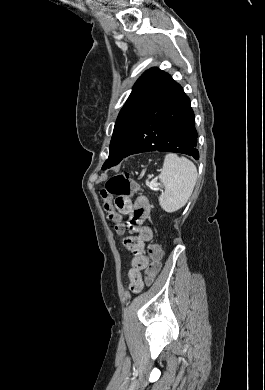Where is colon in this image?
<instances>
[{"instance_id":"obj_1","label":"colon","mask_w":265,"mask_h":390,"mask_svg":"<svg viewBox=\"0 0 265 390\" xmlns=\"http://www.w3.org/2000/svg\"><path fill=\"white\" fill-rule=\"evenodd\" d=\"M140 190L139 185L131 178L129 173L120 172L109 178L100 191L104 210L108 214L109 221L113 224L116 232L124 230L123 216L116 210L112 202L113 197H125ZM150 263L145 270V282L150 285L161 269L162 251L158 244L152 243L148 247Z\"/></svg>"}]
</instances>
